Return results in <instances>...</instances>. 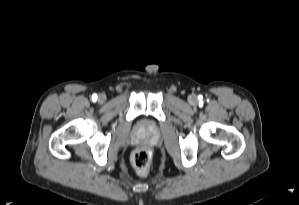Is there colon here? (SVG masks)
<instances>
[{"label":"colon","mask_w":299,"mask_h":205,"mask_svg":"<svg viewBox=\"0 0 299 205\" xmlns=\"http://www.w3.org/2000/svg\"><path fill=\"white\" fill-rule=\"evenodd\" d=\"M131 163L138 176L146 177L151 165V154L149 150L145 148L134 150L131 154Z\"/></svg>","instance_id":"5ec220e1"}]
</instances>
